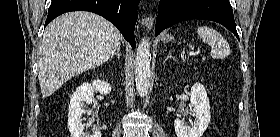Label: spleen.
Instances as JSON below:
<instances>
[{
	"mask_svg": "<svg viewBox=\"0 0 280 137\" xmlns=\"http://www.w3.org/2000/svg\"><path fill=\"white\" fill-rule=\"evenodd\" d=\"M197 33L202 41L211 47L213 59H224L230 55L229 43L215 29L207 26H200Z\"/></svg>",
	"mask_w": 280,
	"mask_h": 137,
	"instance_id": "obj_1",
	"label": "spleen"
}]
</instances>
